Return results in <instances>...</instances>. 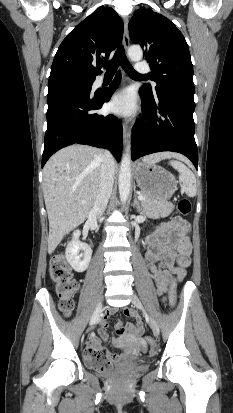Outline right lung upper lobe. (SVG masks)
<instances>
[{
  "label": "right lung upper lobe",
  "mask_w": 233,
  "mask_h": 413,
  "mask_svg": "<svg viewBox=\"0 0 233 413\" xmlns=\"http://www.w3.org/2000/svg\"><path fill=\"white\" fill-rule=\"evenodd\" d=\"M122 35L123 22L118 14L110 7L96 9L59 46L49 81L67 77L95 78L102 73L103 60L121 43Z\"/></svg>",
  "instance_id": "cb5924a9"
}]
</instances>
